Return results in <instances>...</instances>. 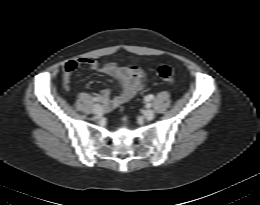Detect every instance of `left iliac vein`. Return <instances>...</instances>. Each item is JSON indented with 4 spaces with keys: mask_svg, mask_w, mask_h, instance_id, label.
Wrapping results in <instances>:
<instances>
[{
    "mask_svg": "<svg viewBox=\"0 0 260 205\" xmlns=\"http://www.w3.org/2000/svg\"><path fill=\"white\" fill-rule=\"evenodd\" d=\"M155 114H154V111L151 110V109H147L145 112H144V118L146 120H152L154 118Z\"/></svg>",
    "mask_w": 260,
    "mask_h": 205,
    "instance_id": "left-iliac-vein-1",
    "label": "left iliac vein"
}]
</instances>
